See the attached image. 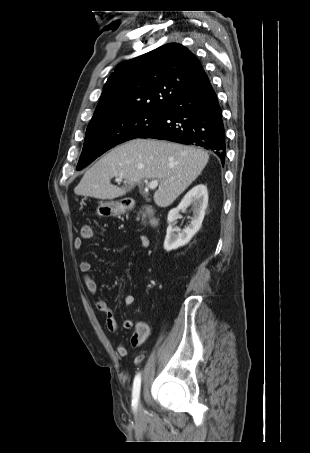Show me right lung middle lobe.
Masks as SVG:
<instances>
[{
  "label": "right lung middle lobe",
  "instance_id": "dd1d6c3e",
  "mask_svg": "<svg viewBox=\"0 0 310 453\" xmlns=\"http://www.w3.org/2000/svg\"><path fill=\"white\" fill-rule=\"evenodd\" d=\"M162 116L163 110L133 111L91 121L87 127L77 170H81L117 144L138 138L152 128Z\"/></svg>",
  "mask_w": 310,
  "mask_h": 453
}]
</instances>
